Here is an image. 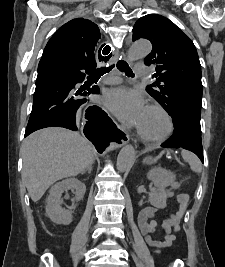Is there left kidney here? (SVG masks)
Instances as JSON below:
<instances>
[{
    "label": "left kidney",
    "mask_w": 225,
    "mask_h": 267,
    "mask_svg": "<svg viewBox=\"0 0 225 267\" xmlns=\"http://www.w3.org/2000/svg\"><path fill=\"white\" fill-rule=\"evenodd\" d=\"M147 178L152 180L157 191L150 195L149 201L151 205L159 209H163L167 206L166 200L168 197H172L174 193L172 191H164V188L171 186L172 189L179 188L180 184L176 182L175 175L170 171L163 168H154L147 173Z\"/></svg>",
    "instance_id": "obj_1"
}]
</instances>
